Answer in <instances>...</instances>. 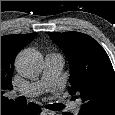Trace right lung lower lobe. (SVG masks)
<instances>
[{
  "label": "right lung lower lobe",
  "mask_w": 115,
  "mask_h": 115,
  "mask_svg": "<svg viewBox=\"0 0 115 115\" xmlns=\"http://www.w3.org/2000/svg\"><path fill=\"white\" fill-rule=\"evenodd\" d=\"M41 112L39 105L34 103L13 104L1 110V115H37Z\"/></svg>",
  "instance_id": "98d812e1"
}]
</instances>
